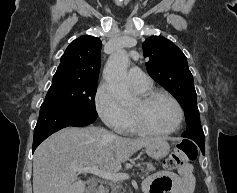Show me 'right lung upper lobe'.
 <instances>
[{"label": "right lung upper lobe", "mask_w": 237, "mask_h": 193, "mask_svg": "<svg viewBox=\"0 0 237 193\" xmlns=\"http://www.w3.org/2000/svg\"><path fill=\"white\" fill-rule=\"evenodd\" d=\"M102 42L93 36L75 39L61 57L54 77H62L95 82L100 69V49Z\"/></svg>", "instance_id": "obj_1"}]
</instances>
